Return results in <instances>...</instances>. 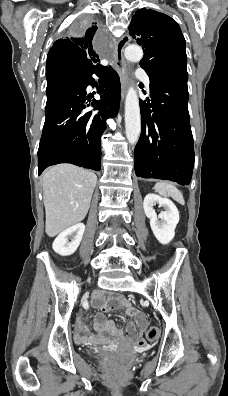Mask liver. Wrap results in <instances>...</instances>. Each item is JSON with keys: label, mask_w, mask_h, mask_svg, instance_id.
<instances>
[{"label": "liver", "mask_w": 228, "mask_h": 396, "mask_svg": "<svg viewBox=\"0 0 228 396\" xmlns=\"http://www.w3.org/2000/svg\"><path fill=\"white\" fill-rule=\"evenodd\" d=\"M45 231L54 237L87 215L97 176L72 164H58L42 177Z\"/></svg>", "instance_id": "1"}]
</instances>
